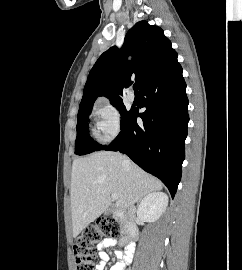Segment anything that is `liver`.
<instances>
[{
    "label": "liver",
    "instance_id": "obj_1",
    "mask_svg": "<svg viewBox=\"0 0 242 270\" xmlns=\"http://www.w3.org/2000/svg\"><path fill=\"white\" fill-rule=\"evenodd\" d=\"M118 152H96L77 158L71 173V216L73 237L99 217L111 204L112 193L118 195L116 208L127 209L163 184L133 162L123 164Z\"/></svg>",
    "mask_w": 242,
    "mask_h": 270
}]
</instances>
